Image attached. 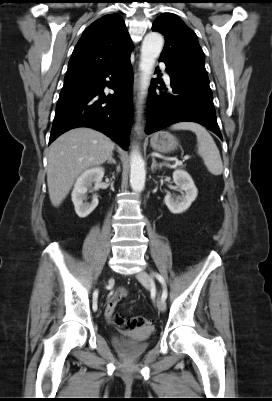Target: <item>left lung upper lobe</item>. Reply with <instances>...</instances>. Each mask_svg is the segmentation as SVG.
Segmentation results:
<instances>
[{
	"label": "left lung upper lobe",
	"mask_w": 272,
	"mask_h": 401,
	"mask_svg": "<svg viewBox=\"0 0 272 401\" xmlns=\"http://www.w3.org/2000/svg\"><path fill=\"white\" fill-rule=\"evenodd\" d=\"M165 37L160 59L195 73L207 76L204 53L196 34L175 14L164 13L152 25Z\"/></svg>",
	"instance_id": "left-lung-upper-lobe-1"
}]
</instances>
